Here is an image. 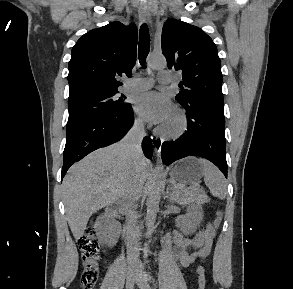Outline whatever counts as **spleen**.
<instances>
[{"instance_id":"1","label":"spleen","mask_w":293,"mask_h":289,"mask_svg":"<svg viewBox=\"0 0 293 289\" xmlns=\"http://www.w3.org/2000/svg\"><path fill=\"white\" fill-rule=\"evenodd\" d=\"M204 171V182L210 193L219 199H224L227 194V183L223 174L212 163L199 159Z\"/></svg>"}]
</instances>
